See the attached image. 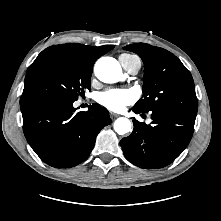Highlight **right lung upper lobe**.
<instances>
[{
  "instance_id": "obj_1",
  "label": "right lung upper lobe",
  "mask_w": 221,
  "mask_h": 221,
  "mask_svg": "<svg viewBox=\"0 0 221 221\" xmlns=\"http://www.w3.org/2000/svg\"><path fill=\"white\" fill-rule=\"evenodd\" d=\"M113 45H105L100 47L86 46L77 43H68L63 45H54L43 50L36 60V62L49 58V57H67L74 59L83 65L93 69L95 61L105 53L113 49ZM27 99L21 97L20 105L23 104Z\"/></svg>"
}]
</instances>
